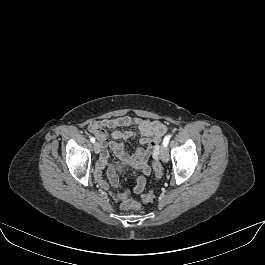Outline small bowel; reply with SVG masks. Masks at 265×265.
Here are the masks:
<instances>
[{"label": "small bowel", "mask_w": 265, "mask_h": 265, "mask_svg": "<svg viewBox=\"0 0 265 265\" xmlns=\"http://www.w3.org/2000/svg\"><path fill=\"white\" fill-rule=\"evenodd\" d=\"M124 127L137 128L140 133L139 141L145 147L138 148L132 154H128L125 151V142L134 139L135 132L131 130L121 131L120 129ZM107 129L111 130V132L108 133ZM89 131L103 145V151L96 167V180L99 186L104 190L109 189V184L102 179L101 175L102 169L106 166H109L108 174L111 184L116 186L119 183L115 167L109 165L107 148H110L121 162L141 171V175L137 178L134 187V193L141 194L146 186V177L151 173V167L148 163L149 159L158 156L159 143L167 132L166 125L157 120L118 116L92 122L89 126ZM123 196H128V194L113 195L116 201H120Z\"/></svg>", "instance_id": "obj_1"}]
</instances>
